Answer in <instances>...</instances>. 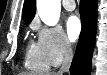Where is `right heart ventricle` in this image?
Masks as SVG:
<instances>
[{"label":"right heart ventricle","instance_id":"e07e8e85","mask_svg":"<svg viewBox=\"0 0 107 75\" xmlns=\"http://www.w3.org/2000/svg\"><path fill=\"white\" fill-rule=\"evenodd\" d=\"M25 66L31 70L44 71L49 65L43 58L37 43L30 42L25 54Z\"/></svg>","mask_w":107,"mask_h":75}]
</instances>
